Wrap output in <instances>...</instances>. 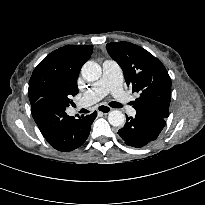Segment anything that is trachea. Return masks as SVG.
<instances>
[{
    "label": "trachea",
    "instance_id": "3493384b",
    "mask_svg": "<svg viewBox=\"0 0 205 205\" xmlns=\"http://www.w3.org/2000/svg\"><path fill=\"white\" fill-rule=\"evenodd\" d=\"M110 106L114 108H121V104H119L118 102H111Z\"/></svg>",
    "mask_w": 205,
    "mask_h": 205
}]
</instances>
